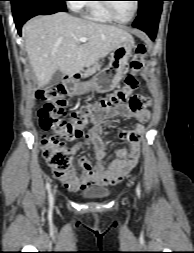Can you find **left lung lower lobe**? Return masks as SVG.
I'll list each match as a JSON object with an SVG mask.
<instances>
[{
    "mask_svg": "<svg viewBox=\"0 0 194 253\" xmlns=\"http://www.w3.org/2000/svg\"><path fill=\"white\" fill-rule=\"evenodd\" d=\"M164 0H151L147 2L138 12V16L133 25L145 31L151 39H154L157 33L159 19Z\"/></svg>",
    "mask_w": 194,
    "mask_h": 253,
    "instance_id": "obj_1",
    "label": "left lung lower lobe"
}]
</instances>
